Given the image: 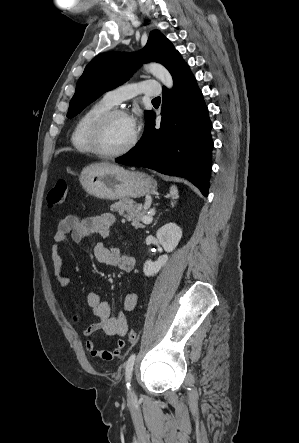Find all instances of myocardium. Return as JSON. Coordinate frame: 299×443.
Instances as JSON below:
<instances>
[{
  "label": "myocardium",
  "mask_w": 299,
  "mask_h": 443,
  "mask_svg": "<svg viewBox=\"0 0 299 443\" xmlns=\"http://www.w3.org/2000/svg\"><path fill=\"white\" fill-rule=\"evenodd\" d=\"M125 116L128 117V113L119 108H111L102 114H100L93 122L89 132V143L94 154L105 159H114L123 156L130 152L137 144L139 140V132L135 129L134 135L131 141L122 149L114 152L106 151L102 147V136L107 124L115 117Z\"/></svg>",
  "instance_id": "obj_1"
}]
</instances>
